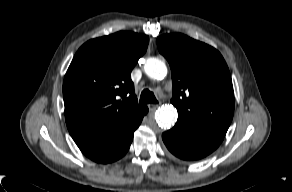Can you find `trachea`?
<instances>
[{
  "instance_id": "1",
  "label": "trachea",
  "mask_w": 292,
  "mask_h": 192,
  "mask_svg": "<svg viewBox=\"0 0 292 192\" xmlns=\"http://www.w3.org/2000/svg\"><path fill=\"white\" fill-rule=\"evenodd\" d=\"M158 101L154 95L153 92L149 91L148 89H145L142 91L140 96V103L147 104V103H153L156 104Z\"/></svg>"
}]
</instances>
